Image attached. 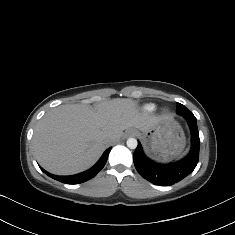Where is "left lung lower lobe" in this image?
<instances>
[{"label": "left lung lower lobe", "mask_w": 235, "mask_h": 235, "mask_svg": "<svg viewBox=\"0 0 235 235\" xmlns=\"http://www.w3.org/2000/svg\"><path fill=\"white\" fill-rule=\"evenodd\" d=\"M183 117L187 120L191 130L192 146L190 153L182 160L169 164L156 163L146 157L140 142H138V146L133 154L135 168L143 178L153 184L172 185L191 174L197 165L200 139L196 117L194 115Z\"/></svg>", "instance_id": "0a47b994"}]
</instances>
